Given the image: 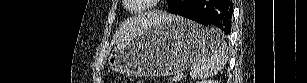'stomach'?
Returning <instances> with one entry per match:
<instances>
[{
  "mask_svg": "<svg viewBox=\"0 0 307 83\" xmlns=\"http://www.w3.org/2000/svg\"><path fill=\"white\" fill-rule=\"evenodd\" d=\"M208 28L172 16L110 52L112 70L128 76H170L212 52Z\"/></svg>",
  "mask_w": 307,
  "mask_h": 83,
  "instance_id": "obj_1",
  "label": "stomach"
}]
</instances>
